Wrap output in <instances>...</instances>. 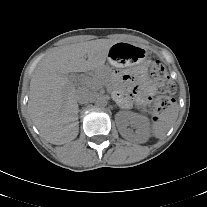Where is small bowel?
Listing matches in <instances>:
<instances>
[{
	"label": "small bowel",
	"instance_id": "1",
	"mask_svg": "<svg viewBox=\"0 0 207 207\" xmlns=\"http://www.w3.org/2000/svg\"><path fill=\"white\" fill-rule=\"evenodd\" d=\"M138 80L140 84L138 90H123L118 93V98L122 102L129 103L132 99H136L139 104L144 105L155 93L156 86L148 77H146L143 69H141L139 73Z\"/></svg>",
	"mask_w": 207,
	"mask_h": 207
}]
</instances>
